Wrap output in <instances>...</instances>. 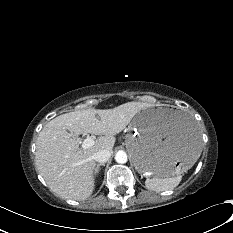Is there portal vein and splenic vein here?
<instances>
[{
    "label": "portal vein and splenic vein",
    "instance_id": "portal-vein-and-splenic-vein-1",
    "mask_svg": "<svg viewBox=\"0 0 233 233\" xmlns=\"http://www.w3.org/2000/svg\"><path fill=\"white\" fill-rule=\"evenodd\" d=\"M93 145H94V139L92 137H87L82 143V148L88 149V148L92 147Z\"/></svg>",
    "mask_w": 233,
    "mask_h": 233
}]
</instances>
